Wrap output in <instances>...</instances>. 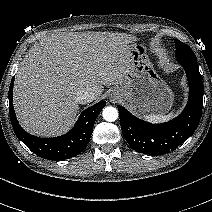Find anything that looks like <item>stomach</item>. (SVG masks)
I'll list each match as a JSON object with an SVG mask.
<instances>
[{
	"mask_svg": "<svg viewBox=\"0 0 212 212\" xmlns=\"http://www.w3.org/2000/svg\"><path fill=\"white\" fill-rule=\"evenodd\" d=\"M122 82L113 93L138 114H164L172 106L173 94L150 61L146 48L132 43L125 48Z\"/></svg>",
	"mask_w": 212,
	"mask_h": 212,
	"instance_id": "obj_1",
	"label": "stomach"
}]
</instances>
